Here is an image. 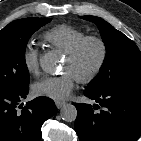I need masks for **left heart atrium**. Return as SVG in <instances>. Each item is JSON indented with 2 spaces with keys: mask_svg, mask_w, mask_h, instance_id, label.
<instances>
[{
  "mask_svg": "<svg viewBox=\"0 0 141 141\" xmlns=\"http://www.w3.org/2000/svg\"><path fill=\"white\" fill-rule=\"evenodd\" d=\"M76 77L65 72L60 76H45L33 84V92L38 96L48 97L54 100H64L72 92Z\"/></svg>",
  "mask_w": 141,
  "mask_h": 141,
  "instance_id": "obj_1",
  "label": "left heart atrium"
}]
</instances>
